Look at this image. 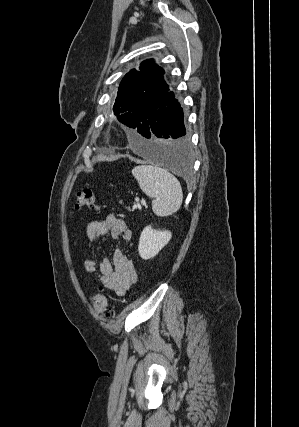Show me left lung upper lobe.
I'll use <instances>...</instances> for the list:
<instances>
[{
	"label": "left lung upper lobe",
	"instance_id": "obj_1",
	"mask_svg": "<svg viewBox=\"0 0 299 427\" xmlns=\"http://www.w3.org/2000/svg\"><path fill=\"white\" fill-rule=\"evenodd\" d=\"M164 70L153 60L141 63L140 71L132 69L120 83L113 110L118 120L135 128L142 108L161 103L169 95L170 89L163 78Z\"/></svg>",
	"mask_w": 299,
	"mask_h": 427
}]
</instances>
